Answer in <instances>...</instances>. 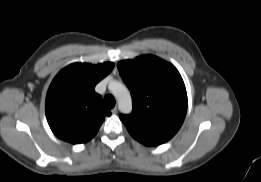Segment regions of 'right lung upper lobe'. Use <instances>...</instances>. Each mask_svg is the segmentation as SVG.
<instances>
[{"label": "right lung upper lobe", "mask_w": 261, "mask_h": 182, "mask_svg": "<svg viewBox=\"0 0 261 182\" xmlns=\"http://www.w3.org/2000/svg\"><path fill=\"white\" fill-rule=\"evenodd\" d=\"M114 64L73 63L53 79L46 96V117L53 133L72 144L85 143L110 116L95 92L96 84L107 76Z\"/></svg>", "instance_id": "cb5924a9"}]
</instances>
